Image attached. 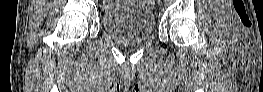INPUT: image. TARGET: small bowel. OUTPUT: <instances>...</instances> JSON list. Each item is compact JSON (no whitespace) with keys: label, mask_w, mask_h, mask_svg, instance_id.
<instances>
[{"label":"small bowel","mask_w":263,"mask_h":92,"mask_svg":"<svg viewBox=\"0 0 263 92\" xmlns=\"http://www.w3.org/2000/svg\"><path fill=\"white\" fill-rule=\"evenodd\" d=\"M144 6L146 7V6H149V4H144Z\"/></svg>","instance_id":"1"}]
</instances>
